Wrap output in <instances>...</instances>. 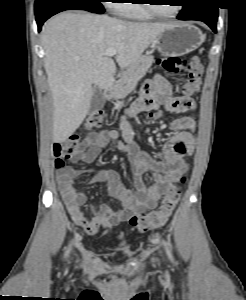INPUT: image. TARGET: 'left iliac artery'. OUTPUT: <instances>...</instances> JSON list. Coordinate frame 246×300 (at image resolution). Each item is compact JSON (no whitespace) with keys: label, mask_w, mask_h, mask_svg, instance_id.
<instances>
[{"label":"left iliac artery","mask_w":246,"mask_h":300,"mask_svg":"<svg viewBox=\"0 0 246 300\" xmlns=\"http://www.w3.org/2000/svg\"><path fill=\"white\" fill-rule=\"evenodd\" d=\"M163 243H164V246H165V248H166V251H167V253H168L170 259L173 260V257H172V255H171V252H170V249H169L170 244H169L168 242H166V241H163Z\"/></svg>","instance_id":"obj_1"}]
</instances>
